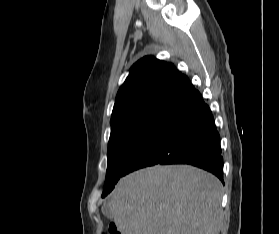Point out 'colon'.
<instances>
[{
	"label": "colon",
	"mask_w": 279,
	"mask_h": 234,
	"mask_svg": "<svg viewBox=\"0 0 279 234\" xmlns=\"http://www.w3.org/2000/svg\"><path fill=\"white\" fill-rule=\"evenodd\" d=\"M108 232V234H122L118 227L114 224L110 225Z\"/></svg>",
	"instance_id": "obj_1"
}]
</instances>
